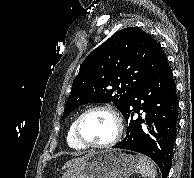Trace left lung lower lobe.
Instances as JSON below:
<instances>
[{
	"label": "left lung lower lobe",
	"mask_w": 194,
	"mask_h": 178,
	"mask_svg": "<svg viewBox=\"0 0 194 178\" xmlns=\"http://www.w3.org/2000/svg\"><path fill=\"white\" fill-rule=\"evenodd\" d=\"M143 110L145 119H133ZM128 124L125 138L115 148L142 153L156 162L162 177L171 169L178 121V98L168 62L163 69L135 89L122 111ZM142 123L146 129L142 128Z\"/></svg>",
	"instance_id": "0a47b994"
}]
</instances>
